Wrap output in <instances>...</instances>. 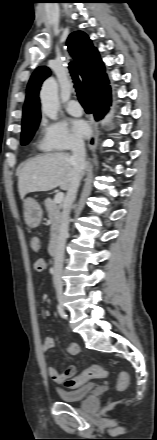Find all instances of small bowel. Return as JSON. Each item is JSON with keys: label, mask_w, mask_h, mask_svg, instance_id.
<instances>
[{"label": "small bowel", "mask_w": 157, "mask_h": 440, "mask_svg": "<svg viewBox=\"0 0 157 440\" xmlns=\"http://www.w3.org/2000/svg\"><path fill=\"white\" fill-rule=\"evenodd\" d=\"M36 271L40 272L43 270H36ZM44 316L46 317L50 316V311L46 310L44 312ZM53 347H54V339L51 337H46L42 343L43 352L45 353L49 352ZM66 352L68 355L74 356L79 352V347L76 343H70L66 348ZM47 370L50 377L58 384H63L66 379L74 376L77 372V368L74 365L69 366L63 373H59L58 370L51 365L47 367Z\"/></svg>", "instance_id": "1"}]
</instances>
